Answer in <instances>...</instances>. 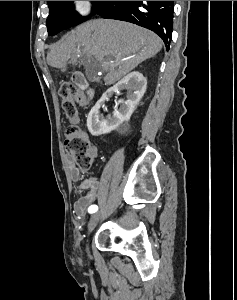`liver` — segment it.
Here are the masks:
<instances>
[{
    "instance_id": "1",
    "label": "liver",
    "mask_w": 237,
    "mask_h": 300,
    "mask_svg": "<svg viewBox=\"0 0 237 300\" xmlns=\"http://www.w3.org/2000/svg\"><path fill=\"white\" fill-rule=\"evenodd\" d=\"M162 45L155 33L137 25L95 19L79 25L63 37L62 43L53 45L47 55V65L65 71L69 59L87 67L89 57H94L97 61H103L99 69L107 71L104 77L106 85H113L139 63L157 55Z\"/></svg>"
}]
</instances>
